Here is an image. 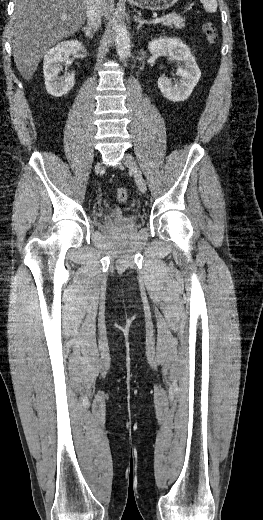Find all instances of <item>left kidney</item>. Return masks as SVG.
Instances as JSON below:
<instances>
[{"label": "left kidney", "instance_id": "1", "mask_svg": "<svg viewBox=\"0 0 263 520\" xmlns=\"http://www.w3.org/2000/svg\"><path fill=\"white\" fill-rule=\"evenodd\" d=\"M148 49L152 54L168 53V55L178 63L183 62V65L177 69V74L181 78L179 83L172 84V82L163 75L158 79V87L164 97L170 101L178 102L186 100L191 95L201 77V71L189 48L180 39L160 37L150 42Z\"/></svg>", "mask_w": 263, "mask_h": 520}]
</instances>
